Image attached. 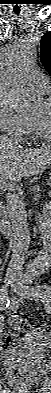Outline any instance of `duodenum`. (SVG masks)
<instances>
[{
    "mask_svg": "<svg viewBox=\"0 0 51 393\" xmlns=\"http://www.w3.org/2000/svg\"><path fill=\"white\" fill-rule=\"evenodd\" d=\"M45 220L47 221V224L50 222V215L49 213L45 212L44 213ZM0 227L1 231L6 235L10 236L12 234V226L11 223L8 219L7 213L5 212L4 207L1 205L0 208Z\"/></svg>",
    "mask_w": 51,
    "mask_h": 393,
    "instance_id": "duodenum-1",
    "label": "duodenum"
}]
</instances>
